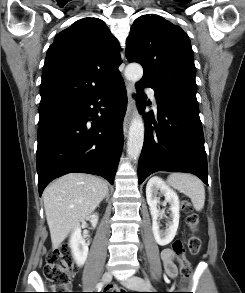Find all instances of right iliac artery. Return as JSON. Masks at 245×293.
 Returning a JSON list of instances; mask_svg holds the SVG:
<instances>
[{
  "label": "right iliac artery",
  "instance_id": "obj_1",
  "mask_svg": "<svg viewBox=\"0 0 245 293\" xmlns=\"http://www.w3.org/2000/svg\"><path fill=\"white\" fill-rule=\"evenodd\" d=\"M102 287H103V283H101V282L96 285V289L98 291H100L102 289Z\"/></svg>",
  "mask_w": 245,
  "mask_h": 293
}]
</instances>
